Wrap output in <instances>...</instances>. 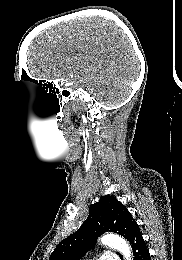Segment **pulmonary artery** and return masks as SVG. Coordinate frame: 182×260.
Masks as SVG:
<instances>
[{"label":"pulmonary artery","mask_w":182,"mask_h":260,"mask_svg":"<svg viewBox=\"0 0 182 260\" xmlns=\"http://www.w3.org/2000/svg\"><path fill=\"white\" fill-rule=\"evenodd\" d=\"M98 260H120L118 255L112 252H106L102 255V257Z\"/></svg>","instance_id":"obj_1"}]
</instances>
